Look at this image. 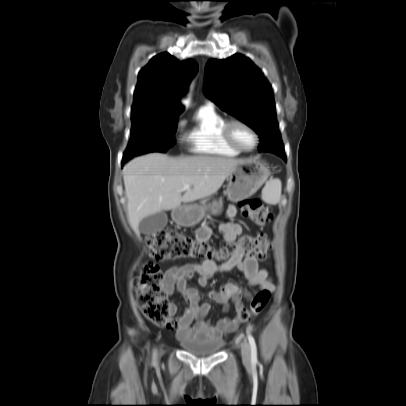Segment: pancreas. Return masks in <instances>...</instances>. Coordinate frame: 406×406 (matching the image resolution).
Instances as JSON below:
<instances>
[{"label":"pancreas","instance_id":"pancreas-1","mask_svg":"<svg viewBox=\"0 0 406 406\" xmlns=\"http://www.w3.org/2000/svg\"><path fill=\"white\" fill-rule=\"evenodd\" d=\"M201 203L205 206L206 200H203ZM219 204L222 205V200L219 201Z\"/></svg>","mask_w":406,"mask_h":406}]
</instances>
